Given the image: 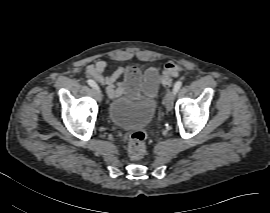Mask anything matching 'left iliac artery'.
<instances>
[{
	"instance_id": "1",
	"label": "left iliac artery",
	"mask_w": 270,
	"mask_h": 213,
	"mask_svg": "<svg viewBox=\"0 0 270 213\" xmlns=\"http://www.w3.org/2000/svg\"><path fill=\"white\" fill-rule=\"evenodd\" d=\"M181 86H182V82L181 81H177L174 84L173 91H174L175 94L178 92V90L181 88Z\"/></svg>"
}]
</instances>
